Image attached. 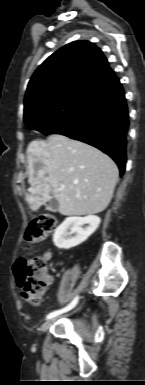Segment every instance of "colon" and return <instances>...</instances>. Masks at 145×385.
I'll return each instance as SVG.
<instances>
[{
    "mask_svg": "<svg viewBox=\"0 0 145 385\" xmlns=\"http://www.w3.org/2000/svg\"><path fill=\"white\" fill-rule=\"evenodd\" d=\"M56 219L51 214H42L34 218L28 225L24 240L27 244L43 241L54 229ZM49 255L33 256L18 261L14 268L16 283L23 298L32 305H39L50 285V277L46 274Z\"/></svg>",
    "mask_w": 145,
    "mask_h": 385,
    "instance_id": "obj_1",
    "label": "colon"
}]
</instances>
